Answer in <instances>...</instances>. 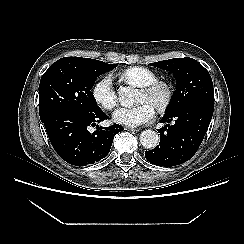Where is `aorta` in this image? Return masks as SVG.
<instances>
[{"label": "aorta", "mask_w": 244, "mask_h": 244, "mask_svg": "<svg viewBox=\"0 0 244 244\" xmlns=\"http://www.w3.org/2000/svg\"><path fill=\"white\" fill-rule=\"evenodd\" d=\"M135 95V90L130 87L118 89L119 101L123 106H132L135 103ZM140 142L145 148H155L159 143V135L153 130H145L140 135Z\"/></svg>", "instance_id": "1"}]
</instances>
